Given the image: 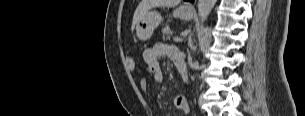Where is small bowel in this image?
Here are the masks:
<instances>
[{
    "label": "small bowel",
    "instance_id": "c3829d8e",
    "mask_svg": "<svg viewBox=\"0 0 305 116\" xmlns=\"http://www.w3.org/2000/svg\"><path fill=\"white\" fill-rule=\"evenodd\" d=\"M182 56L180 51L165 43H157L153 47L146 49L143 57L146 63L147 71L153 76L156 82H161L164 79L163 69L160 60L163 57H169L174 63L178 57ZM139 86L143 92H146L147 82L145 78L139 79ZM174 105L177 109L183 111L185 114L189 113V106L185 97L178 95L174 98Z\"/></svg>",
    "mask_w": 305,
    "mask_h": 116
}]
</instances>
